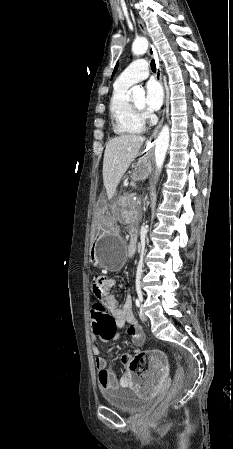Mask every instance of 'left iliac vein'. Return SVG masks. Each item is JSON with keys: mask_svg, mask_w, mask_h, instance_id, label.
I'll list each match as a JSON object with an SVG mask.
<instances>
[{"mask_svg": "<svg viewBox=\"0 0 233 449\" xmlns=\"http://www.w3.org/2000/svg\"><path fill=\"white\" fill-rule=\"evenodd\" d=\"M140 318H141L142 321H147L148 320L147 316L144 314L142 309L140 310Z\"/></svg>", "mask_w": 233, "mask_h": 449, "instance_id": "1", "label": "left iliac vein"}]
</instances>
